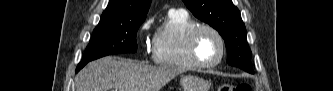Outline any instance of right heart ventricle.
<instances>
[{
  "label": "right heart ventricle",
  "instance_id": "e07e8e85",
  "mask_svg": "<svg viewBox=\"0 0 333 91\" xmlns=\"http://www.w3.org/2000/svg\"><path fill=\"white\" fill-rule=\"evenodd\" d=\"M196 25L187 12L169 11L153 39V61L169 69L196 70L187 47V35Z\"/></svg>",
  "mask_w": 333,
  "mask_h": 91
}]
</instances>
